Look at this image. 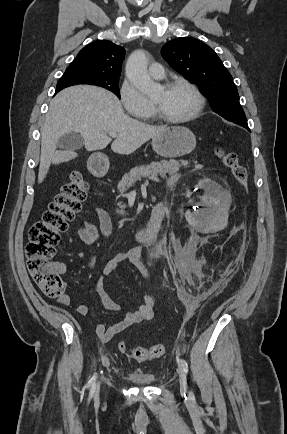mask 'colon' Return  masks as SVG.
Instances as JSON below:
<instances>
[{"label":"colon","mask_w":287,"mask_h":434,"mask_svg":"<svg viewBox=\"0 0 287 434\" xmlns=\"http://www.w3.org/2000/svg\"><path fill=\"white\" fill-rule=\"evenodd\" d=\"M216 154L230 169L237 183L243 187L246 186L248 171L239 162L238 155L233 151L223 149H217ZM87 194L88 184L82 174L79 171L72 172L69 180L63 184L60 192L50 202L42 219L35 222L29 229L26 245L28 271L47 297L59 298L64 292L65 284L58 273L52 269L50 261L54 257L60 234L67 230L69 222L81 210ZM118 350L121 353H128L140 362L159 358L166 353V347L163 344L130 349L125 342H120Z\"/></svg>","instance_id":"5ec220e1"}]
</instances>
